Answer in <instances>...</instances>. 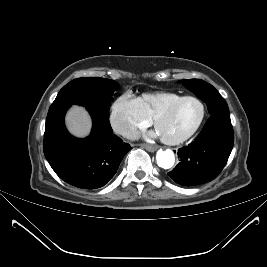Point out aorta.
Masks as SVG:
<instances>
[{
    "label": "aorta",
    "mask_w": 267,
    "mask_h": 267,
    "mask_svg": "<svg viewBox=\"0 0 267 267\" xmlns=\"http://www.w3.org/2000/svg\"><path fill=\"white\" fill-rule=\"evenodd\" d=\"M156 160L159 167L169 169L174 165L175 156L170 149H159L156 154Z\"/></svg>",
    "instance_id": "obj_1"
}]
</instances>
